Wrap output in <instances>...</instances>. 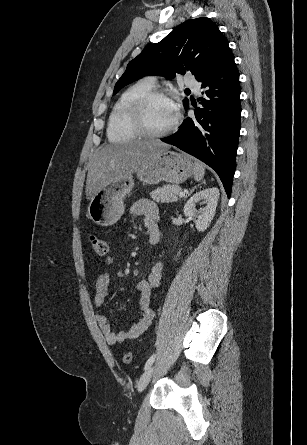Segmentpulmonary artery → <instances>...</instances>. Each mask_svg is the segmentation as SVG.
<instances>
[{
	"label": "pulmonary artery",
	"instance_id": "pulmonary-artery-1",
	"mask_svg": "<svg viewBox=\"0 0 307 445\" xmlns=\"http://www.w3.org/2000/svg\"><path fill=\"white\" fill-rule=\"evenodd\" d=\"M148 84L154 86L155 81L153 79L148 80ZM179 88L181 90H199L200 83L199 81H191L190 76L185 75L182 78V81L179 83Z\"/></svg>",
	"mask_w": 307,
	"mask_h": 445
}]
</instances>
